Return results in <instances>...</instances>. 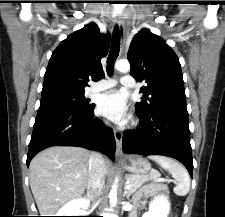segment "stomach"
<instances>
[{"label":"stomach","instance_id":"obj_1","mask_svg":"<svg viewBox=\"0 0 225 217\" xmlns=\"http://www.w3.org/2000/svg\"><path fill=\"white\" fill-rule=\"evenodd\" d=\"M124 168L130 173L144 175L151 170V165L141 156L129 155L124 160Z\"/></svg>","mask_w":225,"mask_h":217}]
</instances>
